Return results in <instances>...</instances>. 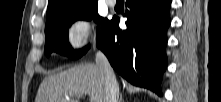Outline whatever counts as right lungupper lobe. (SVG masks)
Masks as SVG:
<instances>
[{
  "instance_id": "cb5924a9",
  "label": "right lung upper lobe",
  "mask_w": 221,
  "mask_h": 102,
  "mask_svg": "<svg viewBox=\"0 0 221 102\" xmlns=\"http://www.w3.org/2000/svg\"><path fill=\"white\" fill-rule=\"evenodd\" d=\"M98 2V0H49L47 7V20L57 12L71 8L80 7L89 3Z\"/></svg>"
}]
</instances>
